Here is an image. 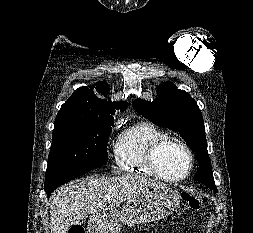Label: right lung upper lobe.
<instances>
[{"label": "right lung upper lobe", "mask_w": 253, "mask_h": 233, "mask_svg": "<svg viewBox=\"0 0 253 233\" xmlns=\"http://www.w3.org/2000/svg\"><path fill=\"white\" fill-rule=\"evenodd\" d=\"M94 86H90L93 89ZM109 86L105 82H99L96 84V90L101 94L107 95ZM128 107L127 102H108L97 98L94 92L88 87L78 88L73 95L66 101L59 113H78L87 115H96L101 117H113L115 109H120L121 111L126 110Z\"/></svg>", "instance_id": "obj_1"}]
</instances>
